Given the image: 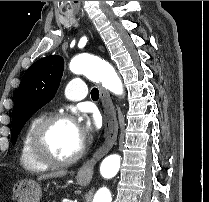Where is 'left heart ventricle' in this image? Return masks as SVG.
<instances>
[{"label":"left heart ventricle","instance_id":"obj_1","mask_svg":"<svg viewBox=\"0 0 209 202\" xmlns=\"http://www.w3.org/2000/svg\"><path fill=\"white\" fill-rule=\"evenodd\" d=\"M81 140L78 138L75 123L62 121L54 124L44 137L47 153L55 159H66L75 154Z\"/></svg>","mask_w":209,"mask_h":202}]
</instances>
